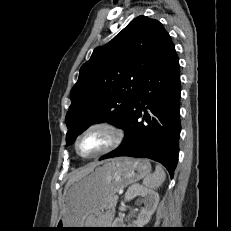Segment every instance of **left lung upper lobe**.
<instances>
[{"label":"left lung upper lobe","mask_w":231,"mask_h":231,"mask_svg":"<svg viewBox=\"0 0 231 231\" xmlns=\"http://www.w3.org/2000/svg\"><path fill=\"white\" fill-rule=\"evenodd\" d=\"M167 36L159 21L139 16L105 46L94 49L70 92L67 144L94 123L121 126Z\"/></svg>","instance_id":"obj_1"}]
</instances>
